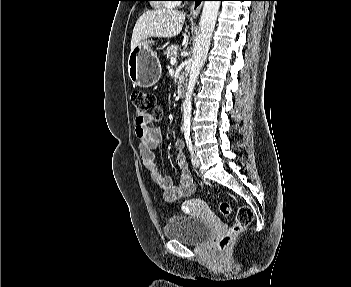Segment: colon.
Instances as JSON below:
<instances>
[{"instance_id": "1", "label": "colon", "mask_w": 351, "mask_h": 287, "mask_svg": "<svg viewBox=\"0 0 351 287\" xmlns=\"http://www.w3.org/2000/svg\"><path fill=\"white\" fill-rule=\"evenodd\" d=\"M132 103L135 108L136 116L139 121H143L148 115L153 119H159L161 112L158 109L157 99L153 93L137 90L132 93ZM152 111V114H150ZM219 211L224 216L231 214V206L227 202H221ZM253 210L247 205H242L237 209L235 219L229 230L220 238L218 246L221 249L226 248L230 242L240 234L253 220Z\"/></svg>"}]
</instances>
